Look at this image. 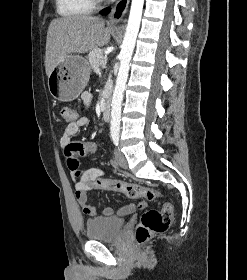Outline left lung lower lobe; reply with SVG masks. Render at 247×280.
<instances>
[{"label": "left lung lower lobe", "instance_id": "0a47b994", "mask_svg": "<svg viewBox=\"0 0 247 280\" xmlns=\"http://www.w3.org/2000/svg\"><path fill=\"white\" fill-rule=\"evenodd\" d=\"M109 12H110V9H106V10H104L101 14L106 15V14H108Z\"/></svg>", "mask_w": 247, "mask_h": 280}]
</instances>
